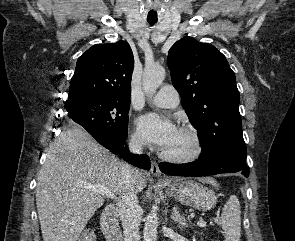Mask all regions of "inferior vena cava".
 <instances>
[{
    "instance_id": "inferior-vena-cava-1",
    "label": "inferior vena cava",
    "mask_w": 295,
    "mask_h": 241,
    "mask_svg": "<svg viewBox=\"0 0 295 241\" xmlns=\"http://www.w3.org/2000/svg\"><path fill=\"white\" fill-rule=\"evenodd\" d=\"M131 152L141 154L143 142L137 137H132L129 142ZM121 181L124 185L123 193L117 201V211L122 221L124 241H140V207L138 204L137 190L135 189V177L138 171L129 164L120 166Z\"/></svg>"
}]
</instances>
